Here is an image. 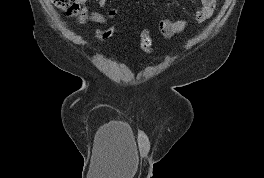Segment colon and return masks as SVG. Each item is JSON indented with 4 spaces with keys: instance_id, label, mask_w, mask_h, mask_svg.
<instances>
[{
    "instance_id": "5ec220e1",
    "label": "colon",
    "mask_w": 264,
    "mask_h": 178,
    "mask_svg": "<svg viewBox=\"0 0 264 178\" xmlns=\"http://www.w3.org/2000/svg\"><path fill=\"white\" fill-rule=\"evenodd\" d=\"M52 3L59 10L63 11L66 15L74 17L79 14L80 0H52ZM115 32L114 26H109L103 29L98 38L101 41L109 39ZM140 48L145 53H151L152 51V33L151 30L146 28L140 35Z\"/></svg>"
}]
</instances>
